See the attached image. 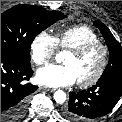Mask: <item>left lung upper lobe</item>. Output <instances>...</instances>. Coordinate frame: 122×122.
<instances>
[{"label":"left lung upper lobe","mask_w":122,"mask_h":122,"mask_svg":"<svg viewBox=\"0 0 122 122\" xmlns=\"http://www.w3.org/2000/svg\"><path fill=\"white\" fill-rule=\"evenodd\" d=\"M101 31L106 40L110 58L101 79H106L111 76H122V47L120 43L114 38L110 30L100 21L93 23Z\"/></svg>","instance_id":"obj_1"}]
</instances>
